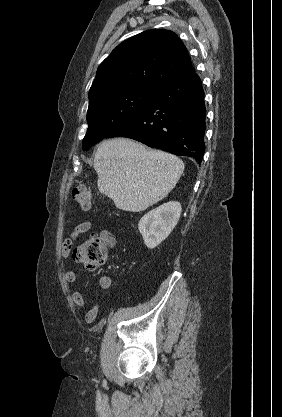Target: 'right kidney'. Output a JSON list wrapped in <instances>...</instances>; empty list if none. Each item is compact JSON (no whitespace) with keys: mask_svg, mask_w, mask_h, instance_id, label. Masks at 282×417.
Returning <instances> with one entry per match:
<instances>
[{"mask_svg":"<svg viewBox=\"0 0 282 417\" xmlns=\"http://www.w3.org/2000/svg\"><path fill=\"white\" fill-rule=\"evenodd\" d=\"M182 206L178 200H169L157 206V209L146 213L139 221L138 229L148 249H155L162 241L169 237L176 227Z\"/></svg>","mask_w":282,"mask_h":417,"instance_id":"obj_1","label":"right kidney"}]
</instances>
